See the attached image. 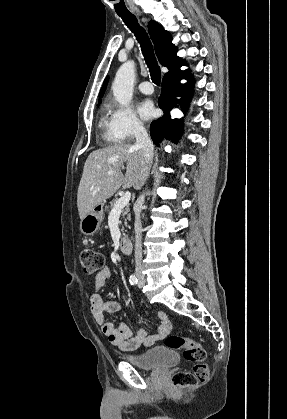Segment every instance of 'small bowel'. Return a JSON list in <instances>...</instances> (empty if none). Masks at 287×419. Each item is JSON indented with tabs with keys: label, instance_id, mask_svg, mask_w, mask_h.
<instances>
[{
	"label": "small bowel",
	"instance_id": "1",
	"mask_svg": "<svg viewBox=\"0 0 287 419\" xmlns=\"http://www.w3.org/2000/svg\"><path fill=\"white\" fill-rule=\"evenodd\" d=\"M110 277L111 271L108 267H104L96 274V292H94L89 299L91 314L96 323L100 325L103 334L108 338L110 343L123 351H136L142 346H150L156 341L166 338L171 331L172 325L166 313L163 311H159L156 314L157 319L160 321V325L152 335H149L143 329L133 335L129 326L124 322L119 323L116 327L106 319L104 312L115 313L122 308L118 301L104 302L98 293Z\"/></svg>",
	"mask_w": 287,
	"mask_h": 419
}]
</instances>
